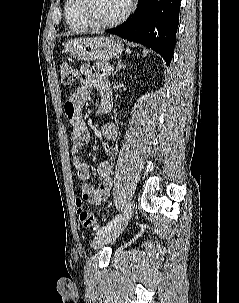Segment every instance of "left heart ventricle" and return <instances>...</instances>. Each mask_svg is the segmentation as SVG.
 <instances>
[{"label": "left heart ventricle", "instance_id": "obj_1", "mask_svg": "<svg viewBox=\"0 0 239 303\" xmlns=\"http://www.w3.org/2000/svg\"><path fill=\"white\" fill-rule=\"evenodd\" d=\"M127 4L128 0H94L92 15L100 22L111 21L126 10Z\"/></svg>", "mask_w": 239, "mask_h": 303}]
</instances>
